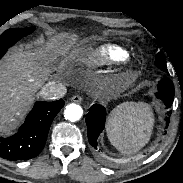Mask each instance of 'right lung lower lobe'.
I'll list each match as a JSON object with an SVG mask.
<instances>
[{
  "instance_id": "right-lung-lower-lobe-1",
  "label": "right lung lower lobe",
  "mask_w": 183,
  "mask_h": 183,
  "mask_svg": "<svg viewBox=\"0 0 183 183\" xmlns=\"http://www.w3.org/2000/svg\"><path fill=\"white\" fill-rule=\"evenodd\" d=\"M5 53H0V58ZM63 100L36 102L15 135L0 136V156L7 160H27L37 156L46 143L51 123L64 106Z\"/></svg>"
}]
</instances>
